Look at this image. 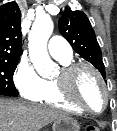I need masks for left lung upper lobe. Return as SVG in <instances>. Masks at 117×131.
I'll use <instances>...</instances> for the list:
<instances>
[{
    "mask_svg": "<svg viewBox=\"0 0 117 131\" xmlns=\"http://www.w3.org/2000/svg\"><path fill=\"white\" fill-rule=\"evenodd\" d=\"M58 25L60 33L72 48L93 64L105 79L101 49L87 16L82 11H72L68 8L63 12Z\"/></svg>",
    "mask_w": 117,
    "mask_h": 131,
    "instance_id": "5c2ea615",
    "label": "left lung upper lobe"
}]
</instances>
